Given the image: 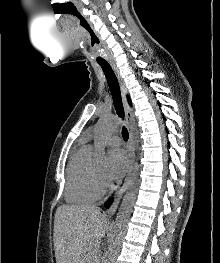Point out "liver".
<instances>
[{
  "label": "liver",
  "mask_w": 220,
  "mask_h": 263,
  "mask_svg": "<svg viewBox=\"0 0 220 263\" xmlns=\"http://www.w3.org/2000/svg\"><path fill=\"white\" fill-rule=\"evenodd\" d=\"M108 228L97 206L62 205L54 220L56 263H93L92 249Z\"/></svg>",
  "instance_id": "obj_1"
}]
</instances>
